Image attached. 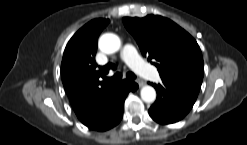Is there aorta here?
<instances>
[{
	"instance_id": "aorta-1",
	"label": "aorta",
	"mask_w": 247,
	"mask_h": 145,
	"mask_svg": "<svg viewBox=\"0 0 247 145\" xmlns=\"http://www.w3.org/2000/svg\"><path fill=\"white\" fill-rule=\"evenodd\" d=\"M98 46L102 52L112 54L120 49L121 40L113 33H106L100 37ZM140 95L142 100L146 103H152L156 99L155 89L148 85L141 89Z\"/></svg>"
}]
</instances>
